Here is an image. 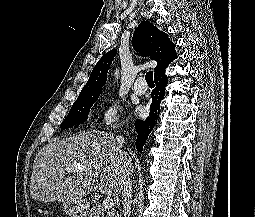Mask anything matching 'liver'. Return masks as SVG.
Instances as JSON below:
<instances>
[{
	"label": "liver",
	"instance_id": "6515ba94",
	"mask_svg": "<svg viewBox=\"0 0 255 217\" xmlns=\"http://www.w3.org/2000/svg\"><path fill=\"white\" fill-rule=\"evenodd\" d=\"M128 156V169H133ZM80 164L85 171L66 177V168ZM92 173H98L97 186L107 195H118L123 189L119 153L113 135L89 131L50 142L36 155L31 175L30 193L39 202L70 203L84 200L94 186Z\"/></svg>",
	"mask_w": 255,
	"mask_h": 217
}]
</instances>
